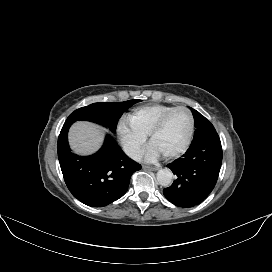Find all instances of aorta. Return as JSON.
Wrapping results in <instances>:
<instances>
[{"label":"aorta","instance_id":"1","mask_svg":"<svg viewBox=\"0 0 272 272\" xmlns=\"http://www.w3.org/2000/svg\"><path fill=\"white\" fill-rule=\"evenodd\" d=\"M156 179L159 185L168 187L172 183L173 173L169 169H161L157 172Z\"/></svg>","mask_w":272,"mask_h":272}]
</instances>
